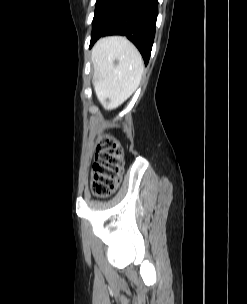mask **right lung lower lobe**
<instances>
[{
    "label": "right lung lower lobe",
    "mask_w": 247,
    "mask_h": 304,
    "mask_svg": "<svg viewBox=\"0 0 247 304\" xmlns=\"http://www.w3.org/2000/svg\"><path fill=\"white\" fill-rule=\"evenodd\" d=\"M158 0H97L90 48L105 35H125L147 65L153 45Z\"/></svg>",
    "instance_id": "1"
}]
</instances>
